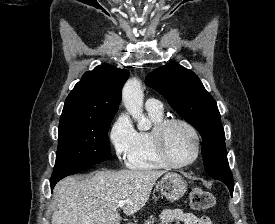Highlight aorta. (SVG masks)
<instances>
[{"label":"aorta","instance_id":"aorta-1","mask_svg":"<svg viewBox=\"0 0 275 224\" xmlns=\"http://www.w3.org/2000/svg\"><path fill=\"white\" fill-rule=\"evenodd\" d=\"M122 99L126 110L137 121L138 129H149L151 124L143 114V92L138 79L127 81L123 88Z\"/></svg>","mask_w":275,"mask_h":224}]
</instances>
